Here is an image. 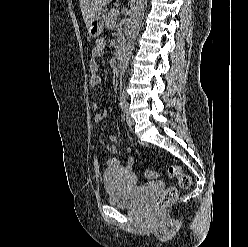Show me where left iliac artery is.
Returning a JSON list of instances; mask_svg holds the SVG:
<instances>
[{
    "label": "left iliac artery",
    "instance_id": "left-iliac-artery-1",
    "mask_svg": "<svg viewBox=\"0 0 248 247\" xmlns=\"http://www.w3.org/2000/svg\"><path fill=\"white\" fill-rule=\"evenodd\" d=\"M121 107H122L123 112L126 113L127 110H128V104H127V101H126L124 91L122 93Z\"/></svg>",
    "mask_w": 248,
    "mask_h": 247
}]
</instances>
